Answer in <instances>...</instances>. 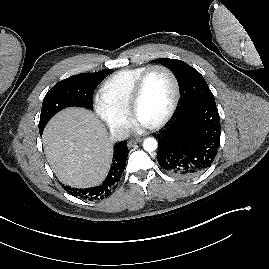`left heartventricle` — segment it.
<instances>
[{
    "label": "left heart ventricle",
    "instance_id": "obj_1",
    "mask_svg": "<svg viewBox=\"0 0 269 269\" xmlns=\"http://www.w3.org/2000/svg\"><path fill=\"white\" fill-rule=\"evenodd\" d=\"M174 97L170 76L161 70L153 71L147 78L137 108V120L148 126L159 121L168 111Z\"/></svg>",
    "mask_w": 269,
    "mask_h": 269
}]
</instances>
